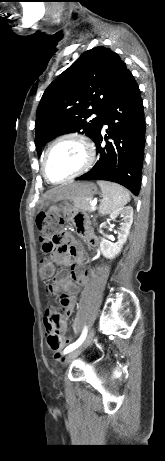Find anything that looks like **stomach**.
Wrapping results in <instances>:
<instances>
[{
  "instance_id": "stomach-1",
  "label": "stomach",
  "mask_w": 165,
  "mask_h": 461,
  "mask_svg": "<svg viewBox=\"0 0 165 461\" xmlns=\"http://www.w3.org/2000/svg\"><path fill=\"white\" fill-rule=\"evenodd\" d=\"M97 193V187L92 182H73L62 185L53 190L46 203L48 206L50 203H56L62 200H73L76 198H90Z\"/></svg>"
}]
</instances>
